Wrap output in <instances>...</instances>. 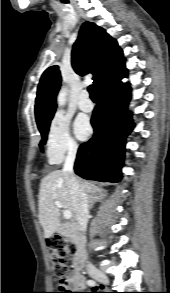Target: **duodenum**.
Wrapping results in <instances>:
<instances>
[{"label": "duodenum", "instance_id": "410a0bca", "mask_svg": "<svg viewBox=\"0 0 170 293\" xmlns=\"http://www.w3.org/2000/svg\"><path fill=\"white\" fill-rule=\"evenodd\" d=\"M55 234L56 235H64V236H75L79 242V250L76 256L73 259V266L75 270L79 271L83 268L84 260H85V253H84V244H85V237L84 232L79 227L78 223L75 220H72L66 224H60L55 227Z\"/></svg>", "mask_w": 170, "mask_h": 293}]
</instances>
